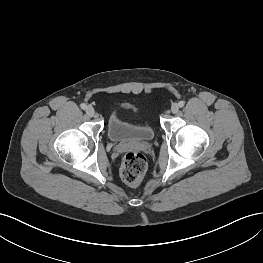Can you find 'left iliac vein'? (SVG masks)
Segmentation results:
<instances>
[{"instance_id":"obj_1","label":"left iliac vein","mask_w":263,"mask_h":263,"mask_svg":"<svg viewBox=\"0 0 263 263\" xmlns=\"http://www.w3.org/2000/svg\"><path fill=\"white\" fill-rule=\"evenodd\" d=\"M172 113H177L179 111V105L177 103L172 104L171 106Z\"/></svg>"}]
</instances>
